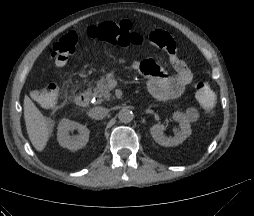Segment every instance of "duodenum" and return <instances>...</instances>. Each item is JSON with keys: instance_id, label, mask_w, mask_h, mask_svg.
Instances as JSON below:
<instances>
[{"instance_id": "duodenum-1", "label": "duodenum", "mask_w": 254, "mask_h": 216, "mask_svg": "<svg viewBox=\"0 0 254 216\" xmlns=\"http://www.w3.org/2000/svg\"><path fill=\"white\" fill-rule=\"evenodd\" d=\"M75 102L78 106L85 107L89 103V93L81 92L75 96Z\"/></svg>"}]
</instances>
